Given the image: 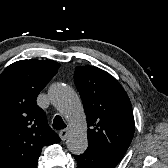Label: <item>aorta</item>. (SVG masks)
<instances>
[{
	"instance_id": "1",
	"label": "aorta",
	"mask_w": 168,
	"mask_h": 168,
	"mask_svg": "<svg viewBox=\"0 0 168 168\" xmlns=\"http://www.w3.org/2000/svg\"><path fill=\"white\" fill-rule=\"evenodd\" d=\"M48 95L51 103L69 123L68 150L76 155L82 154L88 147V139L86 118L79 96L73 88L63 83L52 85Z\"/></svg>"
}]
</instances>
